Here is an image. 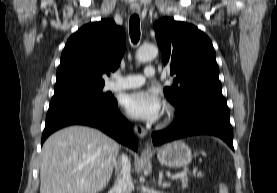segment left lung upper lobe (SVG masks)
Returning a JSON list of instances; mask_svg holds the SVG:
<instances>
[{"instance_id":"left-lung-upper-lobe-1","label":"left lung upper lobe","mask_w":277,"mask_h":193,"mask_svg":"<svg viewBox=\"0 0 277 193\" xmlns=\"http://www.w3.org/2000/svg\"><path fill=\"white\" fill-rule=\"evenodd\" d=\"M164 65H170L174 82L164 89L179 111L194 97L221 92L219 67L211 40L192 24L162 18L154 24Z\"/></svg>"}]
</instances>
